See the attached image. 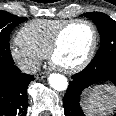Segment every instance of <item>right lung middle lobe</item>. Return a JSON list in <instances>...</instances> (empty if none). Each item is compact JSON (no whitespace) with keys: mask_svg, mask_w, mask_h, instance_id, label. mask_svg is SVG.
I'll list each match as a JSON object with an SVG mask.
<instances>
[{"mask_svg":"<svg viewBox=\"0 0 116 116\" xmlns=\"http://www.w3.org/2000/svg\"><path fill=\"white\" fill-rule=\"evenodd\" d=\"M27 20L6 11H0V68L13 63L9 48L10 33L14 27Z\"/></svg>","mask_w":116,"mask_h":116,"instance_id":"right-lung-middle-lobe-1","label":"right lung middle lobe"}]
</instances>
